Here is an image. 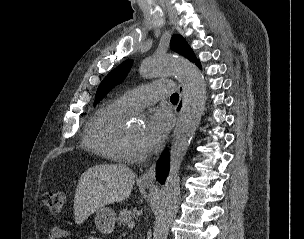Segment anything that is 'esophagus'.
<instances>
[{
  "label": "esophagus",
  "mask_w": 304,
  "mask_h": 239,
  "mask_svg": "<svg viewBox=\"0 0 304 239\" xmlns=\"http://www.w3.org/2000/svg\"><path fill=\"white\" fill-rule=\"evenodd\" d=\"M179 90V102L176 105L175 113L177 116L181 113L183 106H184V87L182 84L178 85ZM155 167L156 162L149 165V167L146 169V171L139 177V181L143 184H153L155 182Z\"/></svg>",
  "instance_id": "obj_1"
}]
</instances>
